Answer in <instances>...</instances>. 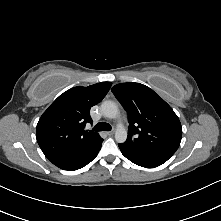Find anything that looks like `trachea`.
<instances>
[{"mask_svg":"<svg viewBox=\"0 0 221 221\" xmlns=\"http://www.w3.org/2000/svg\"><path fill=\"white\" fill-rule=\"evenodd\" d=\"M95 131H110L111 125L105 122H99L93 128Z\"/></svg>","mask_w":221,"mask_h":221,"instance_id":"3493384b","label":"trachea"}]
</instances>
